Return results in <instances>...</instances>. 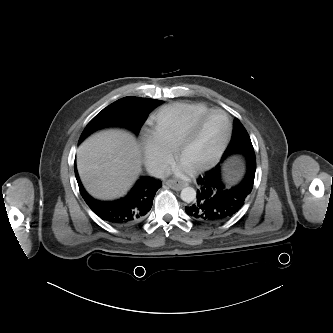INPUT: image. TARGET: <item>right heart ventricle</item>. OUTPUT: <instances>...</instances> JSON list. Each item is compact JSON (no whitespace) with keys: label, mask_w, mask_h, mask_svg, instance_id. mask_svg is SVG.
<instances>
[{"label":"right heart ventricle","mask_w":333,"mask_h":333,"mask_svg":"<svg viewBox=\"0 0 333 333\" xmlns=\"http://www.w3.org/2000/svg\"><path fill=\"white\" fill-rule=\"evenodd\" d=\"M210 108L198 102H175L160 108L151 118L152 132L170 149L198 117Z\"/></svg>","instance_id":"1"}]
</instances>
